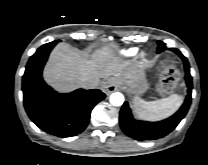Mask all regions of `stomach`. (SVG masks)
<instances>
[{"label":"stomach","mask_w":208,"mask_h":165,"mask_svg":"<svg viewBox=\"0 0 208 165\" xmlns=\"http://www.w3.org/2000/svg\"><path fill=\"white\" fill-rule=\"evenodd\" d=\"M119 85H126L136 95L143 94L148 89L145 67L137 65L115 77Z\"/></svg>","instance_id":"stomach-1"}]
</instances>
